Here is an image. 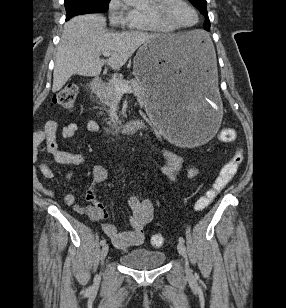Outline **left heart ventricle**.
<instances>
[{
	"instance_id": "1",
	"label": "left heart ventricle",
	"mask_w": 286,
	"mask_h": 308,
	"mask_svg": "<svg viewBox=\"0 0 286 308\" xmlns=\"http://www.w3.org/2000/svg\"><path fill=\"white\" fill-rule=\"evenodd\" d=\"M169 15L176 23L180 25L187 26L196 21L195 13L180 0H173L169 7Z\"/></svg>"
}]
</instances>
